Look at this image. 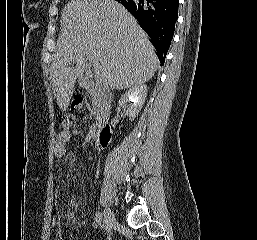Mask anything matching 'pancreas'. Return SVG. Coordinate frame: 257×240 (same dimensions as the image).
<instances>
[{"label": "pancreas", "instance_id": "pancreas-1", "mask_svg": "<svg viewBox=\"0 0 257 240\" xmlns=\"http://www.w3.org/2000/svg\"><path fill=\"white\" fill-rule=\"evenodd\" d=\"M89 93L92 98V107L94 113L97 117V120H99L100 116L107 115L110 108L109 102L104 93L100 90H90Z\"/></svg>", "mask_w": 257, "mask_h": 240}]
</instances>
